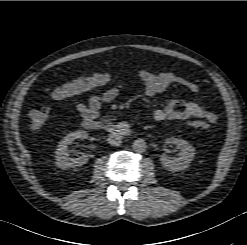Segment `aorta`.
I'll use <instances>...</instances> for the list:
<instances>
[{
	"instance_id": "obj_1",
	"label": "aorta",
	"mask_w": 247,
	"mask_h": 245,
	"mask_svg": "<svg viewBox=\"0 0 247 245\" xmlns=\"http://www.w3.org/2000/svg\"><path fill=\"white\" fill-rule=\"evenodd\" d=\"M147 145L144 139L138 138L133 141L132 149L137 153H142L146 150Z\"/></svg>"
}]
</instances>
